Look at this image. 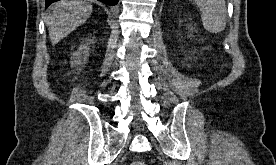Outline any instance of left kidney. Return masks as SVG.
<instances>
[{"label":"left kidney","mask_w":276,"mask_h":165,"mask_svg":"<svg viewBox=\"0 0 276 165\" xmlns=\"http://www.w3.org/2000/svg\"><path fill=\"white\" fill-rule=\"evenodd\" d=\"M191 30L193 31V30H195V28L191 27Z\"/></svg>","instance_id":"left-kidney-1"}]
</instances>
